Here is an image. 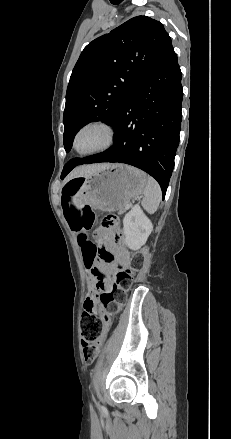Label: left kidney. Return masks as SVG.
Instances as JSON below:
<instances>
[{"label": "left kidney", "mask_w": 231, "mask_h": 439, "mask_svg": "<svg viewBox=\"0 0 231 439\" xmlns=\"http://www.w3.org/2000/svg\"><path fill=\"white\" fill-rule=\"evenodd\" d=\"M153 225L141 208L136 205L123 219L125 243L131 250H139L147 241Z\"/></svg>", "instance_id": "1"}]
</instances>
